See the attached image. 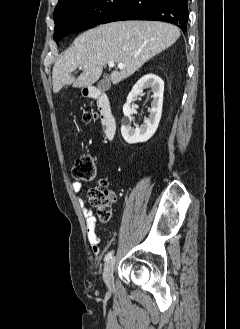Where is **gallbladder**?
I'll use <instances>...</instances> for the list:
<instances>
[{
	"label": "gallbladder",
	"instance_id": "gallbladder-1",
	"mask_svg": "<svg viewBox=\"0 0 240 329\" xmlns=\"http://www.w3.org/2000/svg\"><path fill=\"white\" fill-rule=\"evenodd\" d=\"M97 87L100 91H107L110 88V83H109L108 79L105 78L98 82Z\"/></svg>",
	"mask_w": 240,
	"mask_h": 329
}]
</instances>
